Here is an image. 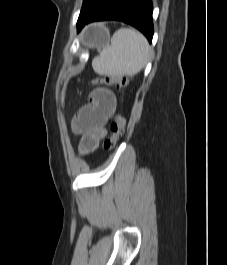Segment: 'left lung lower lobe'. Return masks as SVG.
<instances>
[{
  "label": "left lung lower lobe",
  "mask_w": 227,
  "mask_h": 265,
  "mask_svg": "<svg viewBox=\"0 0 227 265\" xmlns=\"http://www.w3.org/2000/svg\"><path fill=\"white\" fill-rule=\"evenodd\" d=\"M152 11L151 0H106L90 16L77 23V31L93 21L119 20L140 30L151 43L154 33Z\"/></svg>",
  "instance_id": "left-lung-lower-lobe-1"
}]
</instances>
